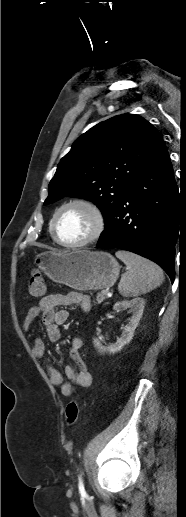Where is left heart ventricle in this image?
<instances>
[{
	"label": "left heart ventricle",
	"instance_id": "1",
	"mask_svg": "<svg viewBox=\"0 0 186 517\" xmlns=\"http://www.w3.org/2000/svg\"><path fill=\"white\" fill-rule=\"evenodd\" d=\"M93 228L91 214L80 206L66 208L57 219L56 231L59 238L68 243L79 242L87 237Z\"/></svg>",
	"mask_w": 186,
	"mask_h": 517
}]
</instances>
